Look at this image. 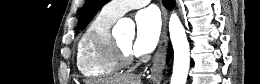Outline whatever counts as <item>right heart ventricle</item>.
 <instances>
[{
	"label": "right heart ventricle",
	"mask_w": 260,
	"mask_h": 84,
	"mask_svg": "<svg viewBox=\"0 0 260 84\" xmlns=\"http://www.w3.org/2000/svg\"><path fill=\"white\" fill-rule=\"evenodd\" d=\"M116 20L103 9L84 31L76 57L78 70L84 77L108 78L121 69L110 51V30Z\"/></svg>",
	"instance_id": "1"
}]
</instances>
